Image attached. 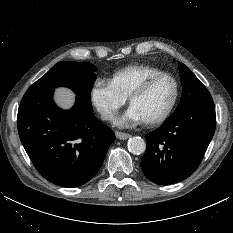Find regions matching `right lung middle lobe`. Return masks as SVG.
<instances>
[{
  "label": "right lung middle lobe",
  "mask_w": 233,
  "mask_h": 233,
  "mask_svg": "<svg viewBox=\"0 0 233 233\" xmlns=\"http://www.w3.org/2000/svg\"><path fill=\"white\" fill-rule=\"evenodd\" d=\"M97 68L89 62H58L29 89H54L59 86L71 88L77 99L92 109L91 90L97 75Z\"/></svg>",
  "instance_id": "right-lung-middle-lobe-1"
}]
</instances>
